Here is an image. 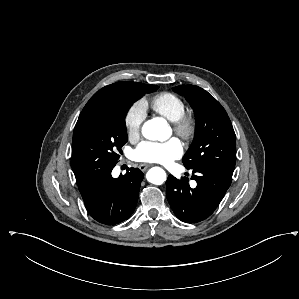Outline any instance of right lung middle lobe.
I'll return each mask as SVG.
<instances>
[{
    "label": "right lung middle lobe",
    "mask_w": 299,
    "mask_h": 299,
    "mask_svg": "<svg viewBox=\"0 0 299 299\" xmlns=\"http://www.w3.org/2000/svg\"><path fill=\"white\" fill-rule=\"evenodd\" d=\"M158 89L144 84L135 94L113 98L75 127L72 140V169L77 184L114 167L127 142L125 116L133 102Z\"/></svg>",
    "instance_id": "1"
}]
</instances>
